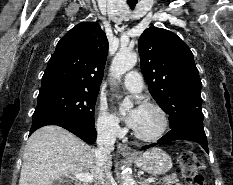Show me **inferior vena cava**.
<instances>
[{"label":"inferior vena cava","instance_id":"1","mask_svg":"<svg viewBox=\"0 0 233 185\" xmlns=\"http://www.w3.org/2000/svg\"><path fill=\"white\" fill-rule=\"evenodd\" d=\"M117 131L114 126H102L97 129V146L95 150L98 180L100 185H116L111 167L107 166L110 153L114 150Z\"/></svg>","mask_w":233,"mask_h":185}]
</instances>
